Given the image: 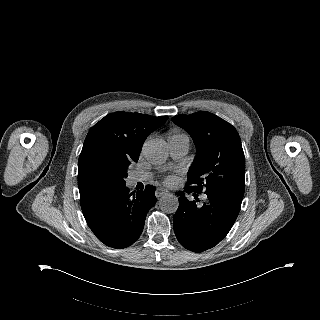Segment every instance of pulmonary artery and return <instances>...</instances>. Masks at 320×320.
Here are the masks:
<instances>
[{
  "label": "pulmonary artery",
  "instance_id": "obj_1",
  "mask_svg": "<svg viewBox=\"0 0 320 320\" xmlns=\"http://www.w3.org/2000/svg\"><path fill=\"white\" fill-rule=\"evenodd\" d=\"M169 143L171 147V156L173 159H181L189 151L190 148V138L183 134V135H173L169 138ZM150 173L146 172H137L129 177V183L131 185L136 184L138 182L147 181L151 178Z\"/></svg>",
  "mask_w": 320,
  "mask_h": 320
}]
</instances>
